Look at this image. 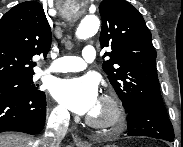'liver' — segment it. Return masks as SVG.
I'll return each instance as SVG.
<instances>
[{
    "mask_svg": "<svg viewBox=\"0 0 183 147\" xmlns=\"http://www.w3.org/2000/svg\"><path fill=\"white\" fill-rule=\"evenodd\" d=\"M35 140L19 133L0 134V147H34Z\"/></svg>",
    "mask_w": 183,
    "mask_h": 147,
    "instance_id": "1",
    "label": "liver"
}]
</instances>
